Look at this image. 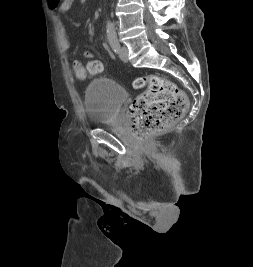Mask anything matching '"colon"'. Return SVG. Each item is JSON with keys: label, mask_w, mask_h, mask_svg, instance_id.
<instances>
[{"label": "colon", "mask_w": 253, "mask_h": 267, "mask_svg": "<svg viewBox=\"0 0 253 267\" xmlns=\"http://www.w3.org/2000/svg\"><path fill=\"white\" fill-rule=\"evenodd\" d=\"M84 56L88 59L89 73L102 72V63L90 51H86ZM73 72L79 79L86 77V70L79 63L73 64ZM134 86L146 87L128 110L132 134L139 140L144 141L162 132L187 110L188 100L185 93L162 76L139 77L134 81Z\"/></svg>", "instance_id": "obj_1"}]
</instances>
